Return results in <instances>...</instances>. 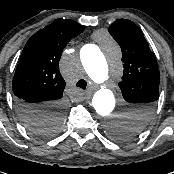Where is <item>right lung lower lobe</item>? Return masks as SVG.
Wrapping results in <instances>:
<instances>
[{"mask_svg": "<svg viewBox=\"0 0 174 174\" xmlns=\"http://www.w3.org/2000/svg\"><path fill=\"white\" fill-rule=\"evenodd\" d=\"M15 103H16L17 111L19 112L20 117L24 121H25V115L39 113L44 110H47L50 107H55L56 109H59V110L62 109L59 101L47 102V101H32V100H25V99H16Z\"/></svg>", "mask_w": 174, "mask_h": 174, "instance_id": "right-lung-lower-lobe-1", "label": "right lung lower lobe"}]
</instances>
